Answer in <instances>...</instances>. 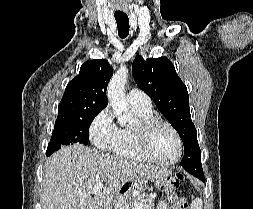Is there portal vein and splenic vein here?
Returning a JSON list of instances; mask_svg holds the SVG:
<instances>
[{
  "instance_id": "portal-vein-and-splenic-vein-1",
  "label": "portal vein and splenic vein",
  "mask_w": 253,
  "mask_h": 209,
  "mask_svg": "<svg viewBox=\"0 0 253 209\" xmlns=\"http://www.w3.org/2000/svg\"><path fill=\"white\" fill-rule=\"evenodd\" d=\"M102 189H103V183L101 182L96 183L92 189V193L95 194L97 192H100ZM136 209H142V205L141 204L136 205Z\"/></svg>"
}]
</instances>
